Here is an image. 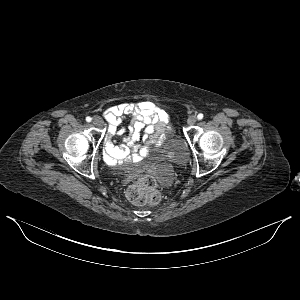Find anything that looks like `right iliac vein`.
I'll use <instances>...</instances> for the list:
<instances>
[{
	"label": "right iliac vein",
	"mask_w": 300,
	"mask_h": 300,
	"mask_svg": "<svg viewBox=\"0 0 300 300\" xmlns=\"http://www.w3.org/2000/svg\"><path fill=\"white\" fill-rule=\"evenodd\" d=\"M92 122L96 126H101L103 124L102 118L99 116H94Z\"/></svg>",
	"instance_id": "right-iliac-vein-1"
}]
</instances>
